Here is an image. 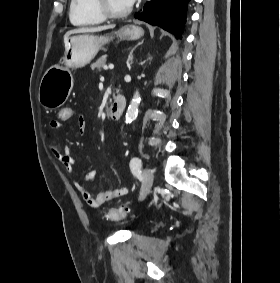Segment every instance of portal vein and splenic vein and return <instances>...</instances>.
I'll return each mask as SVG.
<instances>
[{"label":"portal vein and splenic vein","mask_w":280,"mask_h":283,"mask_svg":"<svg viewBox=\"0 0 280 283\" xmlns=\"http://www.w3.org/2000/svg\"><path fill=\"white\" fill-rule=\"evenodd\" d=\"M108 68H109V69H113V68H114V65H113V64H110ZM108 68H106V69H108Z\"/></svg>","instance_id":"18ae733b"}]
</instances>
